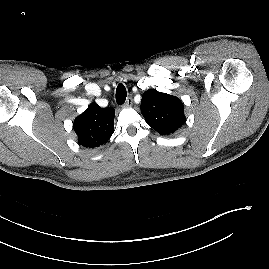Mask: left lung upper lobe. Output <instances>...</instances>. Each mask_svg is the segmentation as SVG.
I'll use <instances>...</instances> for the list:
<instances>
[{
    "mask_svg": "<svg viewBox=\"0 0 269 269\" xmlns=\"http://www.w3.org/2000/svg\"><path fill=\"white\" fill-rule=\"evenodd\" d=\"M140 107L148 125L161 135L173 134L186 121L181 100L154 89L143 94Z\"/></svg>",
    "mask_w": 269,
    "mask_h": 269,
    "instance_id": "5c2ea615",
    "label": "left lung upper lobe"
}]
</instances>
